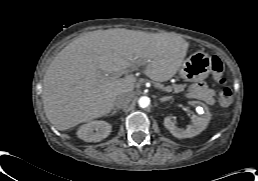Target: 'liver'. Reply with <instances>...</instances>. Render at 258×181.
<instances>
[{
	"label": "liver",
	"instance_id": "obj_1",
	"mask_svg": "<svg viewBox=\"0 0 258 181\" xmlns=\"http://www.w3.org/2000/svg\"><path fill=\"white\" fill-rule=\"evenodd\" d=\"M188 43L179 37L127 29L97 30L64 47L48 66L42 99L58 130L108 114L117 96L131 93L144 66L153 81L165 82L181 68ZM125 75L124 77H121Z\"/></svg>",
	"mask_w": 258,
	"mask_h": 181
}]
</instances>
